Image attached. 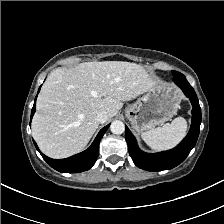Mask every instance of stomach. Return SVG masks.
I'll use <instances>...</instances> for the list:
<instances>
[{
	"mask_svg": "<svg viewBox=\"0 0 224 224\" xmlns=\"http://www.w3.org/2000/svg\"><path fill=\"white\" fill-rule=\"evenodd\" d=\"M182 100L178 88L167 83H158L153 89L129 104L125 115L132 128L143 133L172 119Z\"/></svg>",
	"mask_w": 224,
	"mask_h": 224,
	"instance_id": "0dacf381",
	"label": "stomach"
}]
</instances>
